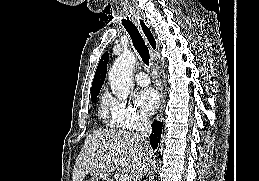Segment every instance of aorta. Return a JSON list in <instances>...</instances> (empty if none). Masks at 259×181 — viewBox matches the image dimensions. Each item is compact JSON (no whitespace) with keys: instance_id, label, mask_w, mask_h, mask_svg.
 Here are the masks:
<instances>
[{"instance_id":"1","label":"aorta","mask_w":259,"mask_h":181,"mask_svg":"<svg viewBox=\"0 0 259 181\" xmlns=\"http://www.w3.org/2000/svg\"><path fill=\"white\" fill-rule=\"evenodd\" d=\"M135 63V55L129 50H124L109 71L108 78L112 93L119 100H126L133 89L132 73Z\"/></svg>"}]
</instances>
